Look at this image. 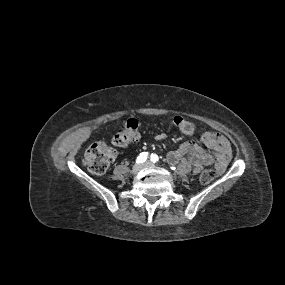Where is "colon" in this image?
<instances>
[{
	"label": "colon",
	"instance_id": "1",
	"mask_svg": "<svg viewBox=\"0 0 285 285\" xmlns=\"http://www.w3.org/2000/svg\"><path fill=\"white\" fill-rule=\"evenodd\" d=\"M174 124L177 128L187 136H191L196 131L195 124L182 117L176 116ZM138 121L136 119L127 120L123 127L114 135L113 144L115 146L124 148L131 142L139 139ZM115 158V150L106 142L99 141L92 144L86 151L83 163L88 170L95 175H103L111 166ZM217 172L213 169H207L202 172L200 181L203 184L211 183L216 177Z\"/></svg>",
	"mask_w": 285,
	"mask_h": 285
}]
</instances>
